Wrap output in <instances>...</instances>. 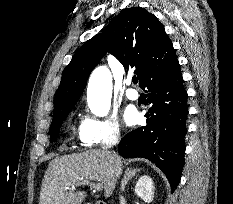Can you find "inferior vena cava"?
<instances>
[{
	"instance_id": "obj_1",
	"label": "inferior vena cava",
	"mask_w": 233,
	"mask_h": 204,
	"mask_svg": "<svg viewBox=\"0 0 233 204\" xmlns=\"http://www.w3.org/2000/svg\"><path fill=\"white\" fill-rule=\"evenodd\" d=\"M118 139H119V134H115L109 142L105 143L102 146V150L108 153L109 152L108 150L114 145H116V143L118 142Z\"/></svg>"
}]
</instances>
